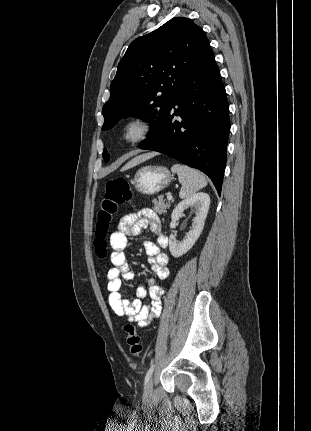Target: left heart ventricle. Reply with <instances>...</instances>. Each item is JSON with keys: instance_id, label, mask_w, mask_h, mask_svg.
<instances>
[{"instance_id": "left-heart-ventricle-1", "label": "left heart ventricle", "mask_w": 311, "mask_h": 431, "mask_svg": "<svg viewBox=\"0 0 311 431\" xmlns=\"http://www.w3.org/2000/svg\"><path fill=\"white\" fill-rule=\"evenodd\" d=\"M141 131L142 127L138 123H131L124 128L123 135L129 137L137 136L141 133Z\"/></svg>"}]
</instances>
